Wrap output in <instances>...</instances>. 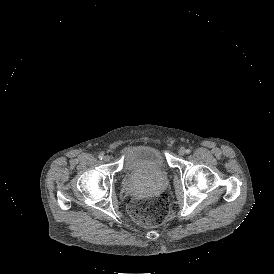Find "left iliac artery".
I'll list each match as a JSON object with an SVG mask.
<instances>
[{
    "label": "left iliac artery",
    "mask_w": 274,
    "mask_h": 274,
    "mask_svg": "<svg viewBox=\"0 0 274 274\" xmlns=\"http://www.w3.org/2000/svg\"><path fill=\"white\" fill-rule=\"evenodd\" d=\"M190 152H191V150H190V149H187V150H186V153H187V154H189Z\"/></svg>",
    "instance_id": "obj_1"
}]
</instances>
